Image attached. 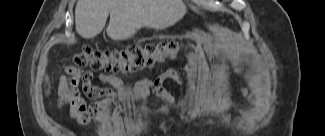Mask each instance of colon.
<instances>
[{
	"instance_id": "5ec220e1",
	"label": "colon",
	"mask_w": 325,
	"mask_h": 136,
	"mask_svg": "<svg viewBox=\"0 0 325 136\" xmlns=\"http://www.w3.org/2000/svg\"><path fill=\"white\" fill-rule=\"evenodd\" d=\"M178 53L174 42L147 45H131L122 50H94L84 46L74 57L78 66L89 65L93 70L103 72H136L155 63L173 59ZM49 87L45 86V91Z\"/></svg>"
}]
</instances>
